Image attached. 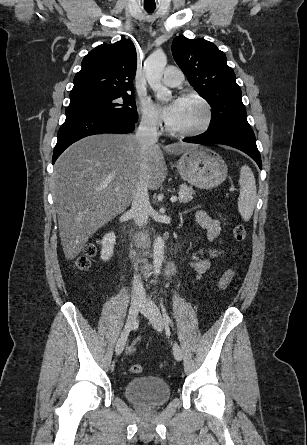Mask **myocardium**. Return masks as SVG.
Here are the masks:
<instances>
[{
    "instance_id": "obj_1",
    "label": "myocardium",
    "mask_w": 307,
    "mask_h": 445,
    "mask_svg": "<svg viewBox=\"0 0 307 445\" xmlns=\"http://www.w3.org/2000/svg\"><path fill=\"white\" fill-rule=\"evenodd\" d=\"M181 100H193L199 103L204 109L205 118L199 126L189 130H175L169 125V123H167V131L174 135L192 138L207 132L212 127L215 120V112L209 101L206 100L202 95L195 92L182 94Z\"/></svg>"
}]
</instances>
